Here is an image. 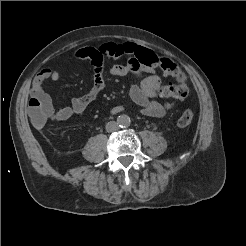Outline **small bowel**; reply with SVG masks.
<instances>
[{
	"label": "small bowel",
	"instance_id": "small-bowel-1",
	"mask_svg": "<svg viewBox=\"0 0 246 246\" xmlns=\"http://www.w3.org/2000/svg\"><path fill=\"white\" fill-rule=\"evenodd\" d=\"M136 45L130 42L116 44L113 42L105 43L99 47H82L75 51L74 57L80 60H88L94 67L95 75L91 89L80 97L73 98L69 106L54 105L51 97L44 90V83L51 79L58 81L61 72L58 69L43 68L35 77L31 94L46 100L51 106L49 119L53 121H65L74 115H82L90 103H92L105 87L103 76V63L105 58L119 59L126 58V62L115 64L109 69L111 76H125L127 74L141 75L148 73L139 83L130 87L129 95L131 100L140 107L143 114L147 116L162 118L174 106V101L161 102L159 94L161 87V77L155 69L144 68L138 65L133 59V52ZM122 105L110 108V113L117 114L124 111Z\"/></svg>",
	"mask_w": 246,
	"mask_h": 246
}]
</instances>
